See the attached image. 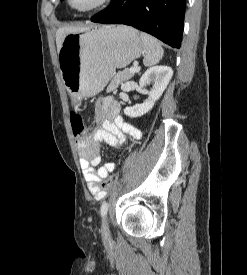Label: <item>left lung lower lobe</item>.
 Instances as JSON below:
<instances>
[{
  "instance_id": "obj_1",
  "label": "left lung lower lobe",
  "mask_w": 247,
  "mask_h": 275,
  "mask_svg": "<svg viewBox=\"0 0 247 275\" xmlns=\"http://www.w3.org/2000/svg\"><path fill=\"white\" fill-rule=\"evenodd\" d=\"M186 0H112L92 22L125 24L180 48Z\"/></svg>"
}]
</instances>
